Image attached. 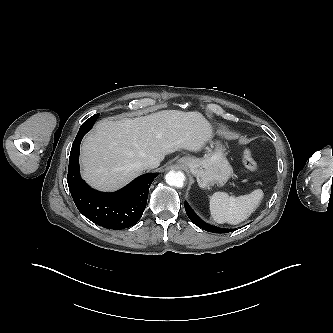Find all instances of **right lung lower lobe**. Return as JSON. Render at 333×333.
Listing matches in <instances>:
<instances>
[{"mask_svg":"<svg viewBox=\"0 0 333 333\" xmlns=\"http://www.w3.org/2000/svg\"><path fill=\"white\" fill-rule=\"evenodd\" d=\"M99 114L87 119L72 144L67 183L78 210L92 222L108 229L134 226L141 218L155 173L139 176L127 186L113 193L90 188L79 173V152L83 136L92 128Z\"/></svg>","mask_w":333,"mask_h":333,"instance_id":"1","label":"right lung lower lobe"}]
</instances>
